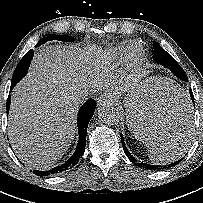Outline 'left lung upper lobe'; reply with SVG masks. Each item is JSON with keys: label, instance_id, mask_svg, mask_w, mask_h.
<instances>
[{"label": "left lung upper lobe", "instance_id": "left-lung-upper-lobe-1", "mask_svg": "<svg viewBox=\"0 0 203 203\" xmlns=\"http://www.w3.org/2000/svg\"><path fill=\"white\" fill-rule=\"evenodd\" d=\"M153 48H154L153 55L155 54V52L161 53L162 51H164V49L155 41L153 42Z\"/></svg>", "mask_w": 203, "mask_h": 203}]
</instances>
